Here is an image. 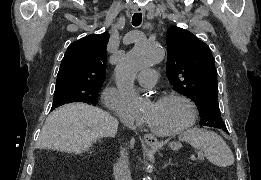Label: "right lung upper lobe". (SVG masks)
I'll return each instance as SVG.
<instances>
[{"label": "right lung upper lobe", "instance_id": "1", "mask_svg": "<svg viewBox=\"0 0 261 180\" xmlns=\"http://www.w3.org/2000/svg\"><path fill=\"white\" fill-rule=\"evenodd\" d=\"M110 35L92 34L74 41L66 50L56 86L65 84L102 85L106 73V46Z\"/></svg>", "mask_w": 261, "mask_h": 180}]
</instances>
